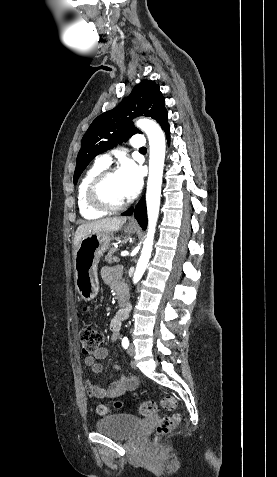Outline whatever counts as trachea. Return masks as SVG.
Returning <instances> with one entry per match:
<instances>
[{"instance_id":"trachea-1","label":"trachea","mask_w":277,"mask_h":477,"mask_svg":"<svg viewBox=\"0 0 277 477\" xmlns=\"http://www.w3.org/2000/svg\"><path fill=\"white\" fill-rule=\"evenodd\" d=\"M140 151H147L146 147L140 148Z\"/></svg>"}]
</instances>
